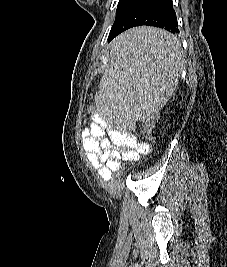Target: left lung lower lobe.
Listing matches in <instances>:
<instances>
[{
  "label": "left lung lower lobe",
  "instance_id": "obj_1",
  "mask_svg": "<svg viewBox=\"0 0 227 267\" xmlns=\"http://www.w3.org/2000/svg\"><path fill=\"white\" fill-rule=\"evenodd\" d=\"M140 25L163 28L173 34L179 33L172 0H127L116 11V18L109 33L108 42L123 31ZM155 41L137 40L134 48L143 50Z\"/></svg>",
  "mask_w": 227,
  "mask_h": 267
}]
</instances>
